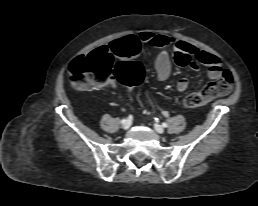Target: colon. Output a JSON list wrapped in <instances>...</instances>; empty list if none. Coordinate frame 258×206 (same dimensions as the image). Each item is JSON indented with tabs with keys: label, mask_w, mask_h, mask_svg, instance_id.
Listing matches in <instances>:
<instances>
[{
	"label": "colon",
	"mask_w": 258,
	"mask_h": 206,
	"mask_svg": "<svg viewBox=\"0 0 258 206\" xmlns=\"http://www.w3.org/2000/svg\"><path fill=\"white\" fill-rule=\"evenodd\" d=\"M72 85L79 90H86L115 77L126 87L138 84L143 76L139 62L128 61L114 63L110 54L95 50L87 55L75 58L69 66ZM233 87V77L229 70H224L221 78L208 83L199 92L189 94L184 103L187 107L195 108L209 101L229 94Z\"/></svg>",
	"instance_id": "1"
}]
</instances>
